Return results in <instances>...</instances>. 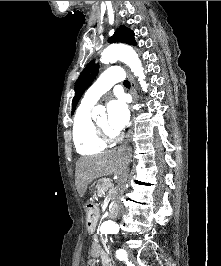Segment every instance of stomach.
Instances as JSON below:
<instances>
[{
    "mask_svg": "<svg viewBox=\"0 0 221 266\" xmlns=\"http://www.w3.org/2000/svg\"><path fill=\"white\" fill-rule=\"evenodd\" d=\"M97 219V211L95 209H90L87 212V221L92 224Z\"/></svg>",
    "mask_w": 221,
    "mask_h": 266,
    "instance_id": "obj_1",
    "label": "stomach"
}]
</instances>
